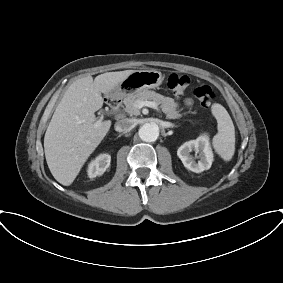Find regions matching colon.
Wrapping results in <instances>:
<instances>
[{
  "mask_svg": "<svg viewBox=\"0 0 283 283\" xmlns=\"http://www.w3.org/2000/svg\"><path fill=\"white\" fill-rule=\"evenodd\" d=\"M167 85L169 89L177 96L182 95L190 85V78L185 75L171 74L168 77ZM195 97L203 107H210L214 101L215 94L210 86L200 85L193 91Z\"/></svg>",
  "mask_w": 283,
  "mask_h": 283,
  "instance_id": "obj_1",
  "label": "colon"
}]
</instances>
